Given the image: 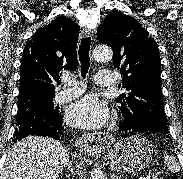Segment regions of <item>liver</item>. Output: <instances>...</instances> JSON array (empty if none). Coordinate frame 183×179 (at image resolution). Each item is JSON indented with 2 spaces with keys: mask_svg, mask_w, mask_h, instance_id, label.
Listing matches in <instances>:
<instances>
[{
  "mask_svg": "<svg viewBox=\"0 0 183 179\" xmlns=\"http://www.w3.org/2000/svg\"><path fill=\"white\" fill-rule=\"evenodd\" d=\"M69 161L70 152L60 142L28 136L9 150L2 179H57Z\"/></svg>",
  "mask_w": 183,
  "mask_h": 179,
  "instance_id": "6515ba94",
  "label": "liver"
}]
</instances>
